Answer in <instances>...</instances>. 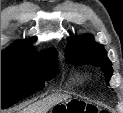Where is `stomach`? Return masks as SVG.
Wrapping results in <instances>:
<instances>
[{
	"mask_svg": "<svg viewBox=\"0 0 123 113\" xmlns=\"http://www.w3.org/2000/svg\"><path fill=\"white\" fill-rule=\"evenodd\" d=\"M86 103L79 99H71L64 103L57 104L53 107V112L72 113L86 110Z\"/></svg>",
	"mask_w": 123,
	"mask_h": 113,
	"instance_id": "1",
	"label": "stomach"
}]
</instances>
